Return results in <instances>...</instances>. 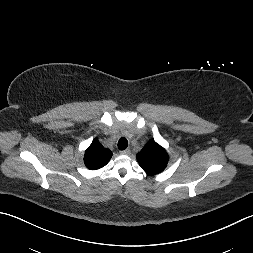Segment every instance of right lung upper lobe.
<instances>
[{
  "label": "right lung upper lobe",
  "instance_id": "right-lung-upper-lobe-1",
  "mask_svg": "<svg viewBox=\"0 0 253 253\" xmlns=\"http://www.w3.org/2000/svg\"><path fill=\"white\" fill-rule=\"evenodd\" d=\"M112 156V152L102 146L95 138L85 151L84 163L88 169L97 170L105 166Z\"/></svg>",
  "mask_w": 253,
  "mask_h": 253
}]
</instances>
